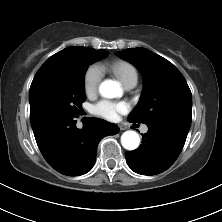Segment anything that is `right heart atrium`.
Wrapping results in <instances>:
<instances>
[{"label":"right heart atrium","mask_w":222,"mask_h":222,"mask_svg":"<svg viewBox=\"0 0 222 222\" xmlns=\"http://www.w3.org/2000/svg\"><path fill=\"white\" fill-rule=\"evenodd\" d=\"M102 76L103 72L100 66L93 64L87 68L83 77L84 90L87 95L97 92Z\"/></svg>","instance_id":"1"}]
</instances>
